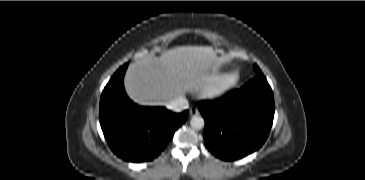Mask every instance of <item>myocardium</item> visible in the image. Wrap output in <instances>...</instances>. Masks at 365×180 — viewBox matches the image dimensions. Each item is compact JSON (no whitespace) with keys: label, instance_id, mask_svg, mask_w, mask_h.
<instances>
[{"label":"myocardium","instance_id":"myocardium-1","mask_svg":"<svg viewBox=\"0 0 365 180\" xmlns=\"http://www.w3.org/2000/svg\"><path fill=\"white\" fill-rule=\"evenodd\" d=\"M240 74L230 70L211 81L204 91L205 99L218 101L225 98L239 83Z\"/></svg>","mask_w":365,"mask_h":180}]
</instances>
